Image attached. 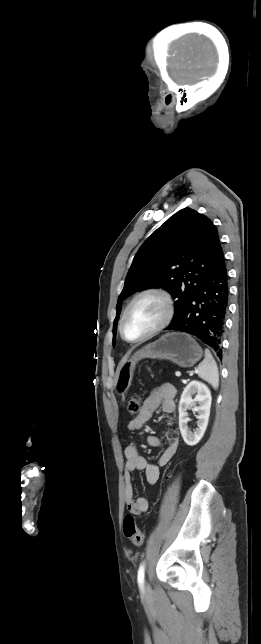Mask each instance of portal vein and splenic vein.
Instances as JSON below:
<instances>
[{
	"label": "portal vein and splenic vein",
	"mask_w": 261,
	"mask_h": 644,
	"mask_svg": "<svg viewBox=\"0 0 261 644\" xmlns=\"http://www.w3.org/2000/svg\"><path fill=\"white\" fill-rule=\"evenodd\" d=\"M175 375H176L177 377H180V376H181V373H180L179 371H177V372L175 373Z\"/></svg>",
	"instance_id": "portal-vein-and-splenic-vein-1"
}]
</instances>
